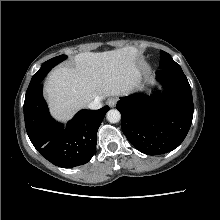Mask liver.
<instances>
[{"label":"liver","instance_id":"6515ba94","mask_svg":"<svg viewBox=\"0 0 220 220\" xmlns=\"http://www.w3.org/2000/svg\"><path fill=\"white\" fill-rule=\"evenodd\" d=\"M137 49L127 46L75 56L74 67L54 69L45 82L52 115L67 121L96 98L128 95L139 88Z\"/></svg>","mask_w":220,"mask_h":220}]
</instances>
